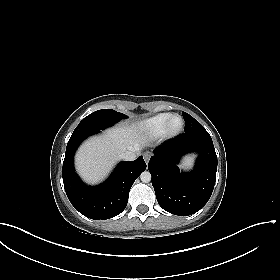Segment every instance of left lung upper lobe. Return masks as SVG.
<instances>
[{"label":"left lung upper lobe","instance_id":"left-lung-upper-lobe-1","mask_svg":"<svg viewBox=\"0 0 280 280\" xmlns=\"http://www.w3.org/2000/svg\"><path fill=\"white\" fill-rule=\"evenodd\" d=\"M185 125V133H192V132H206V129L192 116L189 114L182 112Z\"/></svg>","mask_w":280,"mask_h":280}]
</instances>
